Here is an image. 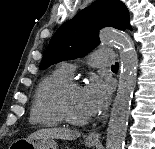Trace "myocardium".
Masks as SVG:
<instances>
[{
	"instance_id": "myocardium-1",
	"label": "myocardium",
	"mask_w": 155,
	"mask_h": 149,
	"mask_svg": "<svg viewBox=\"0 0 155 149\" xmlns=\"http://www.w3.org/2000/svg\"><path fill=\"white\" fill-rule=\"evenodd\" d=\"M72 88H80V85L76 81L68 80L58 87L55 93V107L63 121L77 126L85 125L89 122V117L82 119L76 118L68 109L66 97Z\"/></svg>"
}]
</instances>
